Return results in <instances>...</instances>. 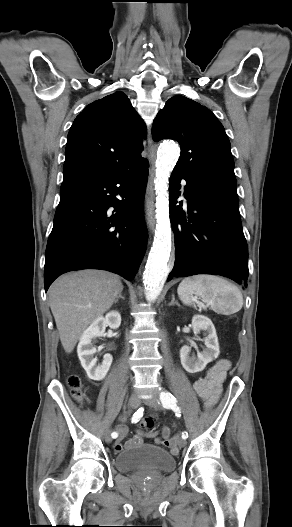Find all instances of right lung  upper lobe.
Here are the masks:
<instances>
[{
	"label": "right lung upper lobe",
	"mask_w": 292,
	"mask_h": 527,
	"mask_svg": "<svg viewBox=\"0 0 292 527\" xmlns=\"http://www.w3.org/2000/svg\"><path fill=\"white\" fill-rule=\"evenodd\" d=\"M146 126L120 91L90 103L68 133L64 180L107 178L136 168Z\"/></svg>",
	"instance_id": "right-lung-upper-lobe-1"
}]
</instances>
